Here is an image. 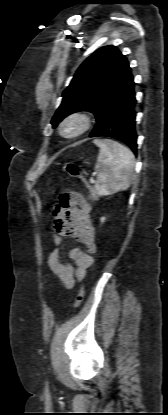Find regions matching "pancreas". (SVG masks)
I'll list each match as a JSON object with an SVG mask.
<instances>
[{"mask_svg": "<svg viewBox=\"0 0 168 415\" xmlns=\"http://www.w3.org/2000/svg\"><path fill=\"white\" fill-rule=\"evenodd\" d=\"M92 192H93V196H95V192H94V190H92ZM95 197H97V196H95Z\"/></svg>", "mask_w": 168, "mask_h": 415, "instance_id": "pancreas-1", "label": "pancreas"}]
</instances>
